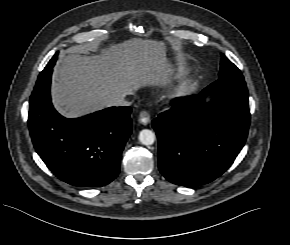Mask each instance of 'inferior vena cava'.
Instances as JSON below:
<instances>
[{"instance_id": "inferior-vena-cava-1", "label": "inferior vena cava", "mask_w": 290, "mask_h": 245, "mask_svg": "<svg viewBox=\"0 0 290 245\" xmlns=\"http://www.w3.org/2000/svg\"><path fill=\"white\" fill-rule=\"evenodd\" d=\"M111 105L112 106H130L131 102L126 101L125 100V96L121 95V96H117L115 98L112 99L111 101Z\"/></svg>"}]
</instances>
